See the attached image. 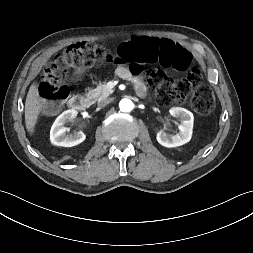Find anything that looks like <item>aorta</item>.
Masks as SVG:
<instances>
[{"label":"aorta","instance_id":"aorta-1","mask_svg":"<svg viewBox=\"0 0 253 253\" xmlns=\"http://www.w3.org/2000/svg\"><path fill=\"white\" fill-rule=\"evenodd\" d=\"M119 108L122 112H130L133 109V103L130 99H122Z\"/></svg>","mask_w":253,"mask_h":253}]
</instances>
